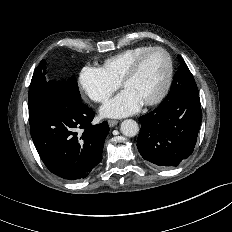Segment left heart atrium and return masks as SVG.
<instances>
[{
    "instance_id": "39dd6f15",
    "label": "left heart atrium",
    "mask_w": 232,
    "mask_h": 232,
    "mask_svg": "<svg viewBox=\"0 0 232 232\" xmlns=\"http://www.w3.org/2000/svg\"><path fill=\"white\" fill-rule=\"evenodd\" d=\"M143 104L133 93L123 90L101 108V114L112 118L125 117L137 112Z\"/></svg>"
}]
</instances>
